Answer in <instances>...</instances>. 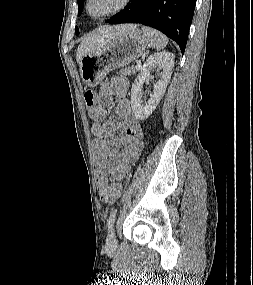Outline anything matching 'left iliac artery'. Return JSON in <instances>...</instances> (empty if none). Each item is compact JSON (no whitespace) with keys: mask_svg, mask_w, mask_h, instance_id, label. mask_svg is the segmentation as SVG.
I'll return each mask as SVG.
<instances>
[{"mask_svg":"<svg viewBox=\"0 0 253 285\" xmlns=\"http://www.w3.org/2000/svg\"><path fill=\"white\" fill-rule=\"evenodd\" d=\"M116 213H117V210H113L111 213H110V216L107 220V228L110 230L113 225H114V222H115V218H116Z\"/></svg>","mask_w":253,"mask_h":285,"instance_id":"1","label":"left iliac artery"}]
</instances>
